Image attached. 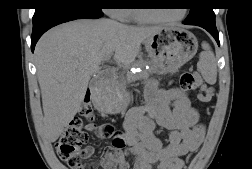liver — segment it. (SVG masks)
Segmentation results:
<instances>
[{"mask_svg":"<svg viewBox=\"0 0 252 169\" xmlns=\"http://www.w3.org/2000/svg\"><path fill=\"white\" fill-rule=\"evenodd\" d=\"M160 26L134 27L111 19H79L56 26L38 41L34 56L46 135L55 142L79 111L91 76L107 55L129 67L144 40Z\"/></svg>","mask_w":252,"mask_h":169,"instance_id":"6515ba94","label":"liver"}]
</instances>
